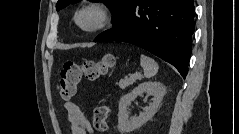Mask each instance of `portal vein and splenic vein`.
Instances as JSON below:
<instances>
[{
    "mask_svg": "<svg viewBox=\"0 0 239 134\" xmlns=\"http://www.w3.org/2000/svg\"><path fill=\"white\" fill-rule=\"evenodd\" d=\"M140 72H136L135 75H138Z\"/></svg>",
    "mask_w": 239,
    "mask_h": 134,
    "instance_id": "1",
    "label": "portal vein and splenic vein"
}]
</instances>
